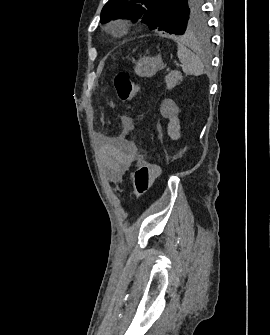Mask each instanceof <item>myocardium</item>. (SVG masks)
I'll use <instances>...</instances> for the list:
<instances>
[{
    "instance_id": "1",
    "label": "myocardium",
    "mask_w": 270,
    "mask_h": 335,
    "mask_svg": "<svg viewBox=\"0 0 270 335\" xmlns=\"http://www.w3.org/2000/svg\"><path fill=\"white\" fill-rule=\"evenodd\" d=\"M107 30L113 36H121L128 30V25L123 20H114L107 25Z\"/></svg>"
}]
</instances>
